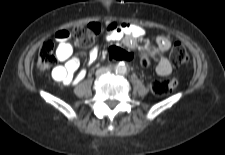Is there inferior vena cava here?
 I'll return each mask as SVG.
<instances>
[{"label": "inferior vena cava", "mask_w": 225, "mask_h": 155, "mask_svg": "<svg viewBox=\"0 0 225 155\" xmlns=\"http://www.w3.org/2000/svg\"><path fill=\"white\" fill-rule=\"evenodd\" d=\"M98 71L101 73H104V72H107L108 70L107 69H99Z\"/></svg>", "instance_id": "obj_1"}]
</instances>
